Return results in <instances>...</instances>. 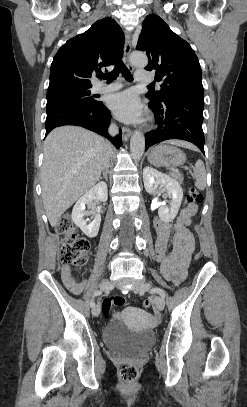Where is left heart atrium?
Instances as JSON below:
<instances>
[{"mask_svg": "<svg viewBox=\"0 0 247 407\" xmlns=\"http://www.w3.org/2000/svg\"><path fill=\"white\" fill-rule=\"evenodd\" d=\"M108 106L114 115L125 122H137L143 117V107L137 96L131 91H123L111 95Z\"/></svg>", "mask_w": 247, "mask_h": 407, "instance_id": "left-heart-atrium-1", "label": "left heart atrium"}]
</instances>
